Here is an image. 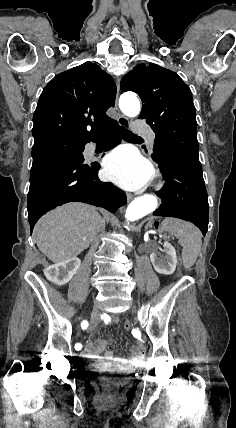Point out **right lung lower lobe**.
Returning a JSON list of instances; mask_svg holds the SVG:
<instances>
[{
	"mask_svg": "<svg viewBox=\"0 0 236 428\" xmlns=\"http://www.w3.org/2000/svg\"><path fill=\"white\" fill-rule=\"evenodd\" d=\"M102 135L108 136L106 149L121 142L119 125L113 122L96 135L83 140L82 152L86 143L96 142ZM83 162L84 158L59 157L32 166L27 203L31 232L43 214L64 203L84 202L103 207L111 213L127 203L124 191L112 183L99 180L98 164L87 165Z\"/></svg>",
	"mask_w": 236,
	"mask_h": 428,
	"instance_id": "98d812e1",
	"label": "right lung lower lobe"
}]
</instances>
